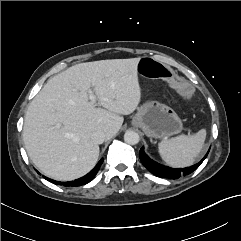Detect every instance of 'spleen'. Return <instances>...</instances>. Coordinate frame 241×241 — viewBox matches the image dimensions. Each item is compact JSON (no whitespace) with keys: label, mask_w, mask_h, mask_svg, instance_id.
<instances>
[{"label":"spleen","mask_w":241,"mask_h":241,"mask_svg":"<svg viewBox=\"0 0 241 241\" xmlns=\"http://www.w3.org/2000/svg\"><path fill=\"white\" fill-rule=\"evenodd\" d=\"M206 139V130L201 129L194 135H179L159 143L162 159L171 167H187L194 163Z\"/></svg>","instance_id":"spleen-1"}]
</instances>
